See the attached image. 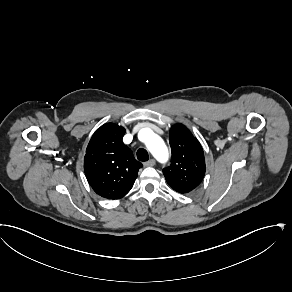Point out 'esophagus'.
Wrapping results in <instances>:
<instances>
[{
	"label": "esophagus",
	"mask_w": 292,
	"mask_h": 292,
	"mask_svg": "<svg viewBox=\"0 0 292 292\" xmlns=\"http://www.w3.org/2000/svg\"><path fill=\"white\" fill-rule=\"evenodd\" d=\"M155 160L154 159H150L149 161L144 163V166L146 167H150V166H154L155 165Z\"/></svg>",
	"instance_id": "obj_1"
}]
</instances>
